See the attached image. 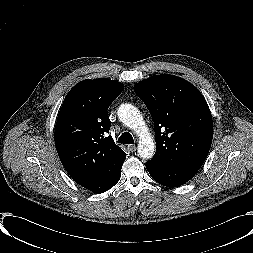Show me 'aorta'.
I'll return each mask as SVG.
<instances>
[{"mask_svg": "<svg viewBox=\"0 0 253 253\" xmlns=\"http://www.w3.org/2000/svg\"><path fill=\"white\" fill-rule=\"evenodd\" d=\"M117 113L119 120L139 136V156L143 159H151L155 152V144L139 110L132 104L125 103L120 105Z\"/></svg>", "mask_w": 253, "mask_h": 253, "instance_id": "aorta-1", "label": "aorta"}]
</instances>
